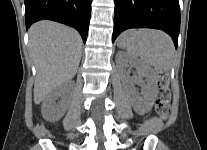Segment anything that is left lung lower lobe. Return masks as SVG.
Masks as SVG:
<instances>
[{
  "label": "left lung lower lobe",
  "mask_w": 207,
  "mask_h": 150,
  "mask_svg": "<svg viewBox=\"0 0 207 150\" xmlns=\"http://www.w3.org/2000/svg\"><path fill=\"white\" fill-rule=\"evenodd\" d=\"M130 28L163 30L172 37L177 48L180 31L179 0H115L112 41Z\"/></svg>",
  "instance_id": "left-lung-lower-lobe-1"
}]
</instances>
